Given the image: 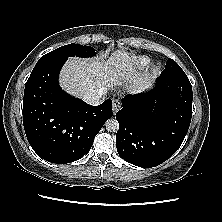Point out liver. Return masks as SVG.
<instances>
[{
	"mask_svg": "<svg viewBox=\"0 0 222 222\" xmlns=\"http://www.w3.org/2000/svg\"><path fill=\"white\" fill-rule=\"evenodd\" d=\"M135 58L125 50L113 51L107 61L100 58H69L60 72V86L71 95L82 98L86 93L129 81L132 90L140 92L151 86L152 79L139 77Z\"/></svg>",
	"mask_w": 222,
	"mask_h": 222,
	"instance_id": "obj_1",
	"label": "liver"
}]
</instances>
